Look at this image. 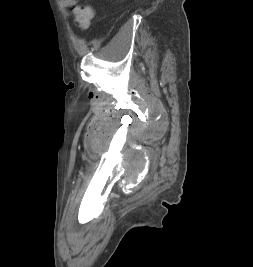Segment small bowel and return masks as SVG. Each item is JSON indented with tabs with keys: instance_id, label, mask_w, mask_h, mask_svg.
<instances>
[{
	"instance_id": "small-bowel-1",
	"label": "small bowel",
	"mask_w": 253,
	"mask_h": 267,
	"mask_svg": "<svg viewBox=\"0 0 253 267\" xmlns=\"http://www.w3.org/2000/svg\"><path fill=\"white\" fill-rule=\"evenodd\" d=\"M60 7L67 13L69 9L76 7L77 0H58Z\"/></svg>"
}]
</instances>
